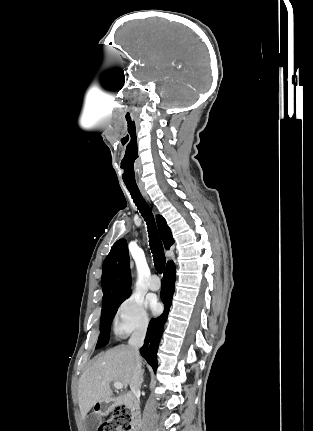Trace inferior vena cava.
<instances>
[{
    "instance_id": "inferior-vena-cava-1",
    "label": "inferior vena cava",
    "mask_w": 313,
    "mask_h": 431,
    "mask_svg": "<svg viewBox=\"0 0 313 431\" xmlns=\"http://www.w3.org/2000/svg\"><path fill=\"white\" fill-rule=\"evenodd\" d=\"M146 335V328H141L136 330L130 340H129V346L133 351V354L135 356V370L130 382V388H131V394L129 395V400L131 405H134L136 407L139 406V399L137 397L139 391H140V377H141V362L139 360V349L143 346L144 339Z\"/></svg>"
}]
</instances>
